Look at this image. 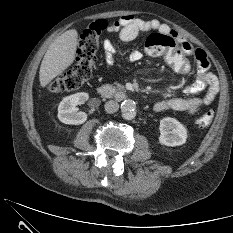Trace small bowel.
<instances>
[{
  "label": "small bowel",
  "mask_w": 233,
  "mask_h": 233,
  "mask_svg": "<svg viewBox=\"0 0 233 233\" xmlns=\"http://www.w3.org/2000/svg\"><path fill=\"white\" fill-rule=\"evenodd\" d=\"M111 30L118 34L121 42H129L135 39L142 32L158 31L170 34L178 41L182 52L189 58H193L197 65V76L193 83L186 84L184 80L178 82V86L189 95H196L204 92L203 96L179 98L171 97L156 102L154 111L163 112L167 110L195 114L202 108L210 105L219 92V81L215 74L210 71V61L207 54L201 48L195 47L185 39L181 38L168 25L157 19H140L133 15H123L111 27ZM105 51V67L109 69L113 62V57L117 53V46L112 41H105L103 44ZM142 55L134 50L129 54V60L139 61Z\"/></svg>",
  "instance_id": "small-bowel-1"
}]
</instances>
